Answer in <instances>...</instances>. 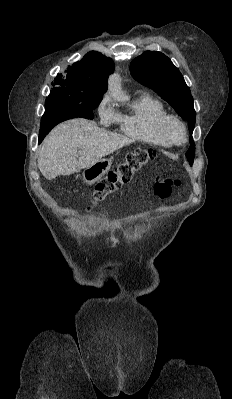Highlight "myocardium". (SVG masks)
<instances>
[{
  "label": "myocardium",
  "instance_id": "f54148a6",
  "mask_svg": "<svg viewBox=\"0 0 232 399\" xmlns=\"http://www.w3.org/2000/svg\"><path fill=\"white\" fill-rule=\"evenodd\" d=\"M171 123L179 125L184 133V138L182 141H178L170 132ZM159 129L162 134L172 143V144H184L188 139V129L185 123L174 114H165L159 121Z\"/></svg>",
  "mask_w": 232,
  "mask_h": 399
}]
</instances>
